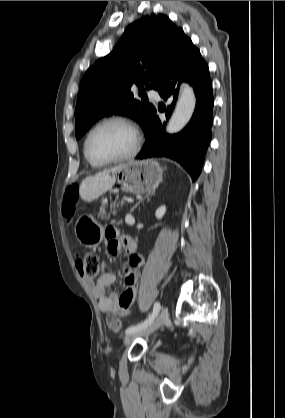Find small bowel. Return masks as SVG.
Wrapping results in <instances>:
<instances>
[{
    "label": "small bowel",
    "mask_w": 285,
    "mask_h": 418,
    "mask_svg": "<svg viewBox=\"0 0 285 418\" xmlns=\"http://www.w3.org/2000/svg\"><path fill=\"white\" fill-rule=\"evenodd\" d=\"M106 248L113 256H119L124 249L130 253V257L121 266L124 275L125 290L123 293H107V287L115 281L113 273L103 271L96 281L85 280L91 285L94 296L98 301L100 312L116 313L121 317H126L132 310V304L137 295L136 284L139 271L144 267V258L135 254L136 243L128 236H120L113 231L106 232ZM104 266V264H103Z\"/></svg>",
    "instance_id": "1"
}]
</instances>
